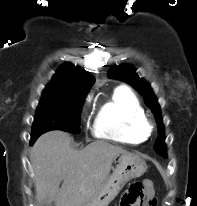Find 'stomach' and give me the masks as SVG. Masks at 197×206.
<instances>
[{
	"label": "stomach",
	"mask_w": 197,
	"mask_h": 206,
	"mask_svg": "<svg viewBox=\"0 0 197 206\" xmlns=\"http://www.w3.org/2000/svg\"><path fill=\"white\" fill-rule=\"evenodd\" d=\"M118 162L113 173L82 206H108L128 181L140 177L146 171L145 161L131 153L121 154Z\"/></svg>",
	"instance_id": "stomach-1"
}]
</instances>
